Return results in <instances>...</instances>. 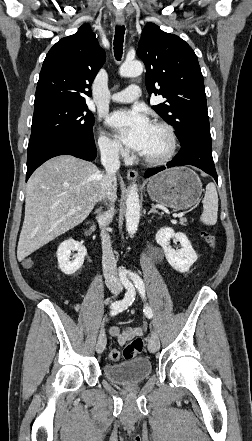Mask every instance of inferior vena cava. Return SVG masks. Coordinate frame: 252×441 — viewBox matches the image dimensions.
<instances>
[{"instance_id":"1","label":"inferior vena cava","mask_w":252,"mask_h":441,"mask_svg":"<svg viewBox=\"0 0 252 441\" xmlns=\"http://www.w3.org/2000/svg\"><path fill=\"white\" fill-rule=\"evenodd\" d=\"M100 152L101 163L105 168V173L102 177L101 188L98 193V201L106 199L110 201V209L98 216L101 223L103 273L107 287L112 291H121L122 285L117 274L116 260L112 252L110 236L105 230L112 221L114 213L116 194L113 189L114 183L116 182V172L120 168L119 150L117 147L104 145L100 147Z\"/></svg>"}]
</instances>
